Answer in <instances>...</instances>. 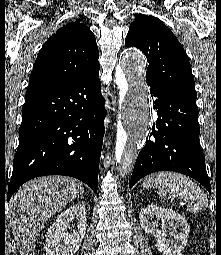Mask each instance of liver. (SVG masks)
I'll list each match as a JSON object with an SVG mask.
<instances>
[{
    "label": "liver",
    "mask_w": 221,
    "mask_h": 255,
    "mask_svg": "<svg viewBox=\"0 0 221 255\" xmlns=\"http://www.w3.org/2000/svg\"><path fill=\"white\" fill-rule=\"evenodd\" d=\"M81 191V183L67 176L39 177L17 190L10 200L9 215L20 255H34L42 226Z\"/></svg>",
    "instance_id": "6515ba94"
}]
</instances>
